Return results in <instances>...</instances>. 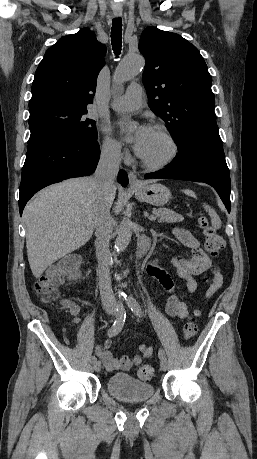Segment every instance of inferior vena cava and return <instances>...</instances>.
<instances>
[{
  "label": "inferior vena cava",
  "instance_id": "602c4592",
  "mask_svg": "<svg viewBox=\"0 0 257 459\" xmlns=\"http://www.w3.org/2000/svg\"><path fill=\"white\" fill-rule=\"evenodd\" d=\"M120 161V153L117 148L103 149L93 175L98 195L95 227L99 289L102 304L106 307L115 306L110 278L111 254L109 241L113 230V221L110 216V195L115 190V180L119 171Z\"/></svg>",
  "mask_w": 257,
  "mask_h": 459
}]
</instances>
